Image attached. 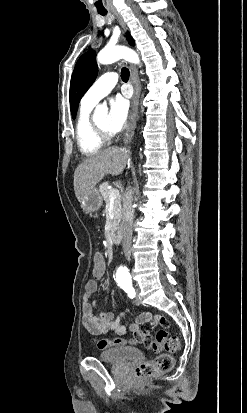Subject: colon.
Listing matches in <instances>:
<instances>
[{"instance_id": "5ec220e1", "label": "colon", "mask_w": 247, "mask_h": 413, "mask_svg": "<svg viewBox=\"0 0 247 413\" xmlns=\"http://www.w3.org/2000/svg\"><path fill=\"white\" fill-rule=\"evenodd\" d=\"M104 258L105 253L103 251H98L92 256V275L99 276L105 272V263L101 261ZM166 342H171L173 344V349L168 351V353H162V347ZM134 344H137V340H124L121 338L98 340L95 342L98 349H105L110 346ZM152 345L155 347L153 349V354L157 357L153 361L146 362L136 369L134 374L135 381H152L154 375L171 371L174 364L173 355H179L181 352L178 338L175 336L168 337V332H157V337H155V341L152 342Z\"/></svg>"}]
</instances>
